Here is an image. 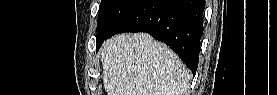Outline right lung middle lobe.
Returning a JSON list of instances; mask_svg holds the SVG:
<instances>
[{
  "instance_id": "obj_1",
  "label": "right lung middle lobe",
  "mask_w": 277,
  "mask_h": 95,
  "mask_svg": "<svg viewBox=\"0 0 277 95\" xmlns=\"http://www.w3.org/2000/svg\"><path fill=\"white\" fill-rule=\"evenodd\" d=\"M144 0H102L97 22L96 50L110 32Z\"/></svg>"
}]
</instances>
